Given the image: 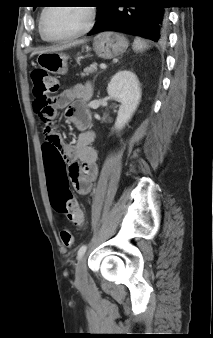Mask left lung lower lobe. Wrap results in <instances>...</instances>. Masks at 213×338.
<instances>
[{
    "mask_svg": "<svg viewBox=\"0 0 213 338\" xmlns=\"http://www.w3.org/2000/svg\"><path fill=\"white\" fill-rule=\"evenodd\" d=\"M164 4L163 0H101L98 21L88 35L116 31L164 43L167 38Z\"/></svg>",
    "mask_w": 213,
    "mask_h": 338,
    "instance_id": "0a47b994",
    "label": "left lung lower lobe"
}]
</instances>
